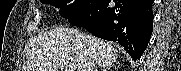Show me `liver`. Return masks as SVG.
Returning <instances> with one entry per match:
<instances>
[{"label": "liver", "mask_w": 181, "mask_h": 71, "mask_svg": "<svg viewBox=\"0 0 181 71\" xmlns=\"http://www.w3.org/2000/svg\"><path fill=\"white\" fill-rule=\"evenodd\" d=\"M118 51L105 42L76 29L54 28L34 37L27 48L23 71H89L93 63L104 68L117 62Z\"/></svg>", "instance_id": "obj_1"}]
</instances>
